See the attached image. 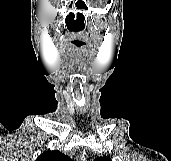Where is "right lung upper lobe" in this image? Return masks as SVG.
<instances>
[{
    "label": "right lung upper lobe",
    "instance_id": "obj_1",
    "mask_svg": "<svg viewBox=\"0 0 171 161\" xmlns=\"http://www.w3.org/2000/svg\"><path fill=\"white\" fill-rule=\"evenodd\" d=\"M36 161H73L60 151H46L41 154Z\"/></svg>",
    "mask_w": 171,
    "mask_h": 161
}]
</instances>
